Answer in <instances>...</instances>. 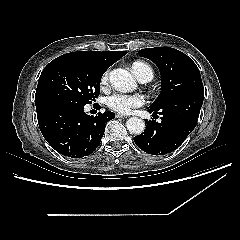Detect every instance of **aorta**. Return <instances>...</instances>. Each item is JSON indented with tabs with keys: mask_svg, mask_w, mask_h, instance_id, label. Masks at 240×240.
Returning <instances> with one entry per match:
<instances>
[{
	"mask_svg": "<svg viewBox=\"0 0 240 240\" xmlns=\"http://www.w3.org/2000/svg\"><path fill=\"white\" fill-rule=\"evenodd\" d=\"M109 81L114 89L121 92H127L136 87V82L130 72L121 68L110 72ZM126 127L131 134L139 135L145 129V122L138 117H131L126 121Z\"/></svg>",
	"mask_w": 240,
	"mask_h": 240,
	"instance_id": "762f6f07",
	"label": "aorta"
}]
</instances>
